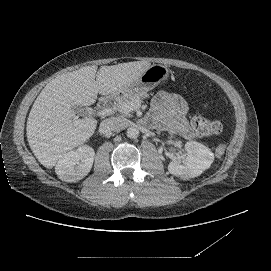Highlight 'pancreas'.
I'll list each match as a JSON object with an SVG mask.
<instances>
[{"label": "pancreas", "instance_id": "pancreas-1", "mask_svg": "<svg viewBox=\"0 0 271 271\" xmlns=\"http://www.w3.org/2000/svg\"><path fill=\"white\" fill-rule=\"evenodd\" d=\"M147 96H148V94L146 92H140V93H135V94H126L118 100L117 106L119 107V109H121V106L124 104H128L130 106H131V104H133V105L137 106L138 104L141 103L142 99H144ZM136 109L137 108L132 106V109H128L126 112H123V113L130 116L129 113L132 112V110H136Z\"/></svg>", "mask_w": 271, "mask_h": 271}]
</instances>
